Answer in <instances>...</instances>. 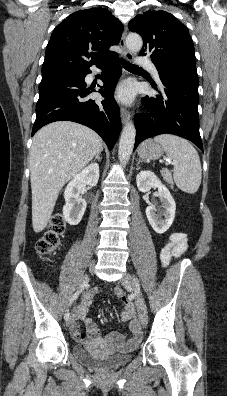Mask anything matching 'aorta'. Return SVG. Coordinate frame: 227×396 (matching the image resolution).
Masks as SVG:
<instances>
[{
    "label": "aorta",
    "instance_id": "762f6f07",
    "mask_svg": "<svg viewBox=\"0 0 227 396\" xmlns=\"http://www.w3.org/2000/svg\"><path fill=\"white\" fill-rule=\"evenodd\" d=\"M127 48L132 52H139L143 46L140 35L130 33L126 38ZM136 129L133 122H127L122 130L118 148V157L122 164H126L132 154L135 143Z\"/></svg>",
    "mask_w": 227,
    "mask_h": 396
}]
</instances>
